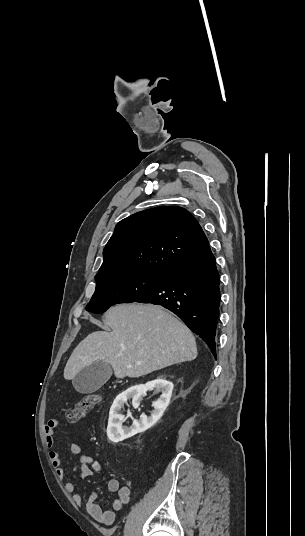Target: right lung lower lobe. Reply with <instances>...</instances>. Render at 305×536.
I'll return each mask as SVG.
<instances>
[{"mask_svg": "<svg viewBox=\"0 0 305 536\" xmlns=\"http://www.w3.org/2000/svg\"><path fill=\"white\" fill-rule=\"evenodd\" d=\"M219 285L216 259L211 252L172 270L159 285L135 302L162 305L174 312L208 344L216 357Z\"/></svg>", "mask_w": 305, "mask_h": 536, "instance_id": "98d812e1", "label": "right lung lower lobe"}]
</instances>
